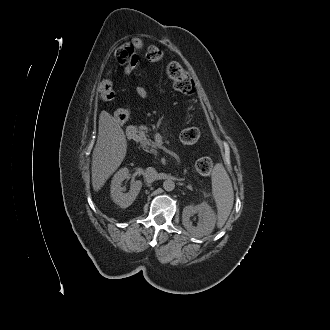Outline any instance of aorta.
I'll use <instances>...</instances> for the list:
<instances>
[{"label":"aorta","mask_w":330,"mask_h":330,"mask_svg":"<svg viewBox=\"0 0 330 330\" xmlns=\"http://www.w3.org/2000/svg\"><path fill=\"white\" fill-rule=\"evenodd\" d=\"M163 188L166 190V191H172L174 190L175 188V183L174 181L168 179V180H165L163 182Z\"/></svg>","instance_id":"obj_1"}]
</instances>
